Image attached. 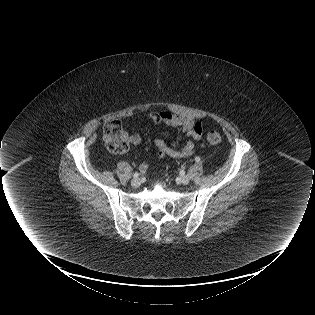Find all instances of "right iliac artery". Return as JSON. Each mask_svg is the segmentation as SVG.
<instances>
[{
    "mask_svg": "<svg viewBox=\"0 0 315 315\" xmlns=\"http://www.w3.org/2000/svg\"><path fill=\"white\" fill-rule=\"evenodd\" d=\"M139 177V173L138 172H135L134 174H133V178H138Z\"/></svg>",
    "mask_w": 315,
    "mask_h": 315,
    "instance_id": "82829eb1",
    "label": "right iliac artery"
}]
</instances>
